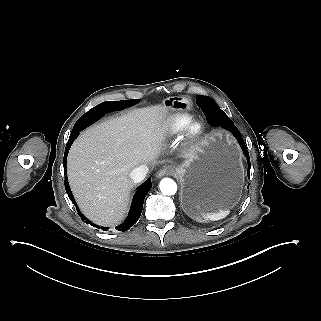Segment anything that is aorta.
<instances>
[{"instance_id":"obj_1","label":"aorta","mask_w":321,"mask_h":321,"mask_svg":"<svg viewBox=\"0 0 321 321\" xmlns=\"http://www.w3.org/2000/svg\"><path fill=\"white\" fill-rule=\"evenodd\" d=\"M159 187L164 195H174L177 191L176 182L170 178L162 179Z\"/></svg>"}]
</instances>
